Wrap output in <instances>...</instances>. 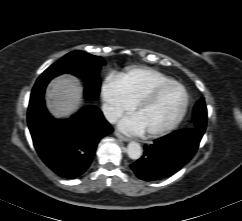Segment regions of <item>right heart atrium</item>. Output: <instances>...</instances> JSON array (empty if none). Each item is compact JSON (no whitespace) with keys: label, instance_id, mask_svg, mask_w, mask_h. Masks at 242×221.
Segmentation results:
<instances>
[{"label":"right heart atrium","instance_id":"d8ad5b80","mask_svg":"<svg viewBox=\"0 0 242 221\" xmlns=\"http://www.w3.org/2000/svg\"><path fill=\"white\" fill-rule=\"evenodd\" d=\"M102 99L105 104V116L110 122L129 112L133 104L128 100L115 78H108L102 86Z\"/></svg>","mask_w":242,"mask_h":221}]
</instances>
